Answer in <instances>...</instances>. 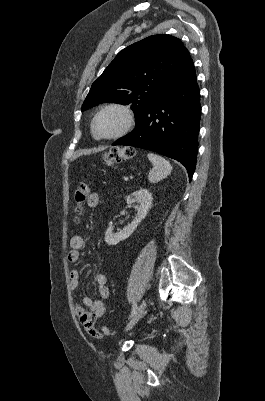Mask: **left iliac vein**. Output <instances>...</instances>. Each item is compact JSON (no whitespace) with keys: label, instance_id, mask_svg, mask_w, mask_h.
<instances>
[{"label":"left iliac vein","instance_id":"1","mask_svg":"<svg viewBox=\"0 0 265 401\" xmlns=\"http://www.w3.org/2000/svg\"><path fill=\"white\" fill-rule=\"evenodd\" d=\"M146 305H147V300L144 299L142 301V303L139 305V307L137 308V310H136L135 314L133 315V317L131 318V320L126 325V327H125L126 331H129L130 329H132L135 326V324L139 321V319L142 317V315L145 311Z\"/></svg>","mask_w":265,"mask_h":401}]
</instances>
